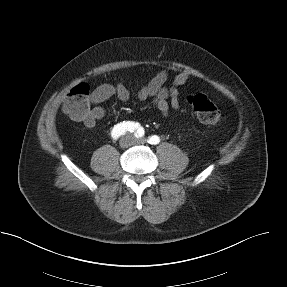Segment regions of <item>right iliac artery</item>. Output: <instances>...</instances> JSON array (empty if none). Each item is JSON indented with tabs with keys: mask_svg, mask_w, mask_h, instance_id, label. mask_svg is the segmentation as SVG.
Instances as JSON below:
<instances>
[{
	"mask_svg": "<svg viewBox=\"0 0 287 287\" xmlns=\"http://www.w3.org/2000/svg\"><path fill=\"white\" fill-rule=\"evenodd\" d=\"M135 132L136 137H142L144 136V130L138 123L135 122H123V123H118L115 125L111 131V136L113 139H118L120 136L124 135L127 131L128 132Z\"/></svg>",
	"mask_w": 287,
	"mask_h": 287,
	"instance_id": "82829eb1",
	"label": "right iliac artery"
}]
</instances>
